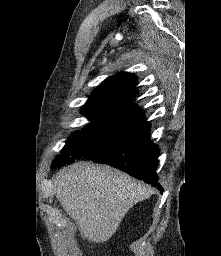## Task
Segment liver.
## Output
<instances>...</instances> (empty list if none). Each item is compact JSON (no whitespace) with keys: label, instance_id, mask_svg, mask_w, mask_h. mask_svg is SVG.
Listing matches in <instances>:
<instances>
[{"label":"liver","instance_id":"liver-1","mask_svg":"<svg viewBox=\"0 0 221 256\" xmlns=\"http://www.w3.org/2000/svg\"><path fill=\"white\" fill-rule=\"evenodd\" d=\"M56 197L81 236L102 243L116 232L129 209L153 189L107 165L77 162L54 176Z\"/></svg>","mask_w":221,"mask_h":256}]
</instances>
